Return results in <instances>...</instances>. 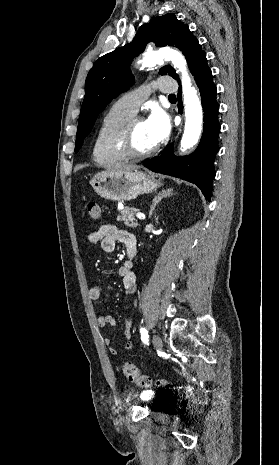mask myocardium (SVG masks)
Instances as JSON below:
<instances>
[{
    "instance_id": "obj_1",
    "label": "myocardium",
    "mask_w": 279,
    "mask_h": 465,
    "mask_svg": "<svg viewBox=\"0 0 279 465\" xmlns=\"http://www.w3.org/2000/svg\"><path fill=\"white\" fill-rule=\"evenodd\" d=\"M141 120L139 117H131L110 135L107 146L111 154L121 159H139L148 157L157 150L156 144L150 149L141 152L133 151L129 147L132 128L135 123Z\"/></svg>"
}]
</instances>
